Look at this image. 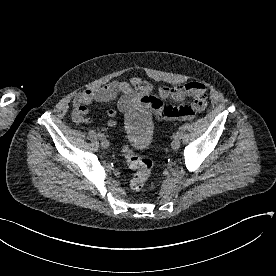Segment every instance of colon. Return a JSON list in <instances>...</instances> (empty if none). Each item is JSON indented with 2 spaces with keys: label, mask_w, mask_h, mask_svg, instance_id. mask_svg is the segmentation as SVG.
<instances>
[{
  "label": "colon",
  "mask_w": 276,
  "mask_h": 276,
  "mask_svg": "<svg viewBox=\"0 0 276 276\" xmlns=\"http://www.w3.org/2000/svg\"><path fill=\"white\" fill-rule=\"evenodd\" d=\"M122 154L129 167L135 170L130 182L131 188L139 191L144 187L146 181L148 180L153 163L150 159L135 153L134 150L128 145L123 146Z\"/></svg>",
  "instance_id": "colon-1"
}]
</instances>
